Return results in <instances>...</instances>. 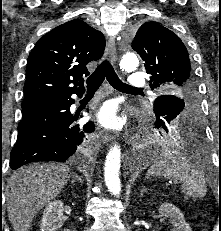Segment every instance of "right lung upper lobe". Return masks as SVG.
I'll list each match as a JSON object with an SVG mask.
<instances>
[{"label": "right lung upper lobe", "instance_id": "1", "mask_svg": "<svg viewBox=\"0 0 221 231\" xmlns=\"http://www.w3.org/2000/svg\"><path fill=\"white\" fill-rule=\"evenodd\" d=\"M103 34L82 20L68 21L41 37L27 61L24 101L84 92L86 65L104 52Z\"/></svg>", "mask_w": 221, "mask_h": 231}]
</instances>
